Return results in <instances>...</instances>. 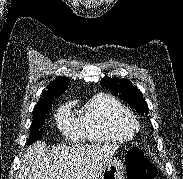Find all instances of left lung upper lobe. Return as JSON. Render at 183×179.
Masks as SVG:
<instances>
[{
  "label": "left lung upper lobe",
  "mask_w": 183,
  "mask_h": 179,
  "mask_svg": "<svg viewBox=\"0 0 183 179\" xmlns=\"http://www.w3.org/2000/svg\"><path fill=\"white\" fill-rule=\"evenodd\" d=\"M101 85L111 90L113 95L119 96V98L132 105L140 113L148 115L149 108L141 91L133 86L129 80L106 77L101 80Z\"/></svg>",
  "instance_id": "obj_1"
}]
</instances>
